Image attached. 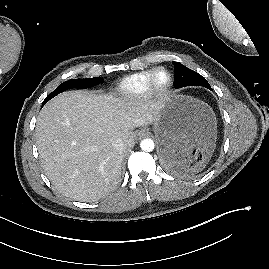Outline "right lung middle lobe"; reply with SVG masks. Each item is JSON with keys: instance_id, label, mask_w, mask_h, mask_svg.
Segmentation results:
<instances>
[{"instance_id": "1", "label": "right lung middle lobe", "mask_w": 269, "mask_h": 269, "mask_svg": "<svg viewBox=\"0 0 269 269\" xmlns=\"http://www.w3.org/2000/svg\"><path fill=\"white\" fill-rule=\"evenodd\" d=\"M101 82H103V80L99 77L88 78V79H71V80L65 81L62 84H60L50 95H48L45 98V100L43 101V105L46 102H48L50 99H52L59 93L64 92L67 89H71V88L86 89V88L96 86Z\"/></svg>"}]
</instances>
